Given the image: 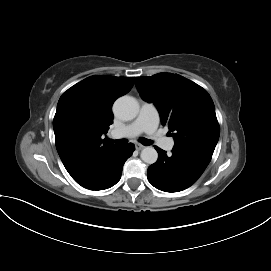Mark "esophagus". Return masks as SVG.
<instances>
[{
  "mask_svg": "<svg viewBox=\"0 0 271 271\" xmlns=\"http://www.w3.org/2000/svg\"><path fill=\"white\" fill-rule=\"evenodd\" d=\"M135 147H136L137 150H142V149L145 148V146H143V145L140 144V143H136V144H135Z\"/></svg>",
  "mask_w": 271,
  "mask_h": 271,
  "instance_id": "esophagus-1",
  "label": "esophagus"
}]
</instances>
